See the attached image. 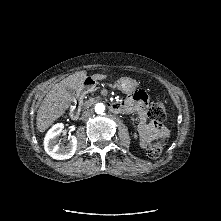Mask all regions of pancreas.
<instances>
[{"label": "pancreas", "mask_w": 221, "mask_h": 221, "mask_svg": "<svg viewBox=\"0 0 221 221\" xmlns=\"http://www.w3.org/2000/svg\"><path fill=\"white\" fill-rule=\"evenodd\" d=\"M95 103H96V98L95 97H90L89 100L84 103V108L85 109H90L91 106Z\"/></svg>", "instance_id": "1"}]
</instances>
